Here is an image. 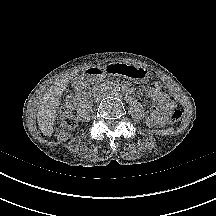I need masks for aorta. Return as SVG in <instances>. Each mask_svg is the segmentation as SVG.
<instances>
[{
  "mask_svg": "<svg viewBox=\"0 0 216 216\" xmlns=\"http://www.w3.org/2000/svg\"><path fill=\"white\" fill-rule=\"evenodd\" d=\"M119 94H120V88L119 87L113 86L110 88V91H109V96H111L110 98L117 97V96H119Z\"/></svg>",
  "mask_w": 216,
  "mask_h": 216,
  "instance_id": "obj_1",
  "label": "aorta"
}]
</instances>
